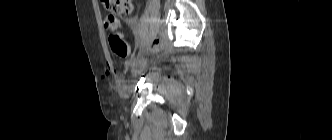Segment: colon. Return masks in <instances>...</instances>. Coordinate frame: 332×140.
I'll use <instances>...</instances> for the list:
<instances>
[{"mask_svg":"<svg viewBox=\"0 0 332 140\" xmlns=\"http://www.w3.org/2000/svg\"><path fill=\"white\" fill-rule=\"evenodd\" d=\"M105 8L110 12L103 19L105 29L111 32L109 36V45L112 51L118 56H126L129 47L124 34L120 31L119 21L116 15L130 14L133 6L131 0H101Z\"/></svg>","mask_w":332,"mask_h":140,"instance_id":"colon-1","label":"colon"}]
</instances>
